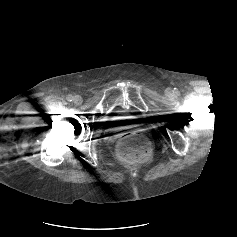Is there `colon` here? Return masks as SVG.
Listing matches in <instances>:
<instances>
[{"instance_id":"5ec220e1","label":"colon","mask_w":237,"mask_h":237,"mask_svg":"<svg viewBox=\"0 0 237 237\" xmlns=\"http://www.w3.org/2000/svg\"><path fill=\"white\" fill-rule=\"evenodd\" d=\"M116 151L118 157L126 162H141L150 157L151 145L142 134L132 132L119 140Z\"/></svg>"}]
</instances>
